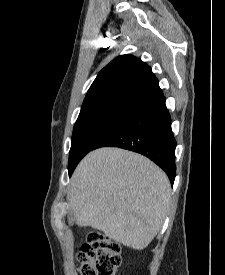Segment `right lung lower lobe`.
<instances>
[{"instance_id":"right-lung-lower-lobe-1","label":"right lung lower lobe","mask_w":225,"mask_h":275,"mask_svg":"<svg viewBox=\"0 0 225 275\" xmlns=\"http://www.w3.org/2000/svg\"><path fill=\"white\" fill-rule=\"evenodd\" d=\"M120 147L140 153L161 167L171 184L176 176V140L165 98L128 114L94 147Z\"/></svg>"}]
</instances>
